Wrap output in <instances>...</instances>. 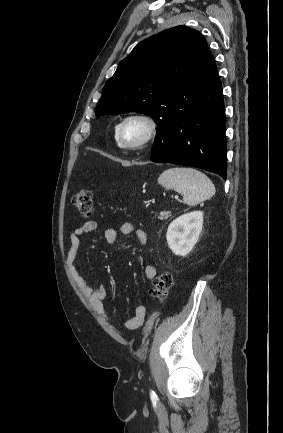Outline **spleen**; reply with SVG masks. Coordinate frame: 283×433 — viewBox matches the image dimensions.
Wrapping results in <instances>:
<instances>
[{
	"mask_svg": "<svg viewBox=\"0 0 283 433\" xmlns=\"http://www.w3.org/2000/svg\"><path fill=\"white\" fill-rule=\"evenodd\" d=\"M158 182L181 192L184 202L190 206L211 198L216 192L212 180L196 168H167L158 176Z\"/></svg>",
	"mask_w": 283,
	"mask_h": 433,
	"instance_id": "3e777b00",
	"label": "spleen"
}]
</instances>
